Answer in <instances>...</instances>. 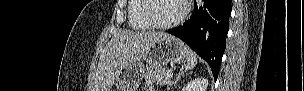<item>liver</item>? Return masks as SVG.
I'll list each match as a JSON object with an SVG mask.
<instances>
[{"label": "liver", "instance_id": "obj_1", "mask_svg": "<svg viewBox=\"0 0 304 91\" xmlns=\"http://www.w3.org/2000/svg\"><path fill=\"white\" fill-rule=\"evenodd\" d=\"M167 36L164 32L122 31L115 34L100 55L93 91H109L127 62L143 55L153 42Z\"/></svg>", "mask_w": 304, "mask_h": 91}]
</instances>
